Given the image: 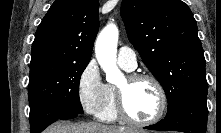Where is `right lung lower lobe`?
I'll return each instance as SVG.
<instances>
[{
    "instance_id": "98d812e1",
    "label": "right lung lower lobe",
    "mask_w": 221,
    "mask_h": 133,
    "mask_svg": "<svg viewBox=\"0 0 221 133\" xmlns=\"http://www.w3.org/2000/svg\"><path fill=\"white\" fill-rule=\"evenodd\" d=\"M75 109H69L61 113H51L49 111H32L30 110L31 133H40L53 122L61 119H72L80 115Z\"/></svg>"
}]
</instances>
